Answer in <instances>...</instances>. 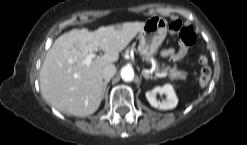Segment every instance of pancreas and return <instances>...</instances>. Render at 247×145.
Instances as JSON below:
<instances>
[{"label": "pancreas", "mask_w": 247, "mask_h": 145, "mask_svg": "<svg viewBox=\"0 0 247 145\" xmlns=\"http://www.w3.org/2000/svg\"><path fill=\"white\" fill-rule=\"evenodd\" d=\"M155 71L159 72L160 68L157 66L155 68ZM161 71H162V73H167L171 80L186 79V77H187V73L185 71H179L176 67L171 68L170 66H166Z\"/></svg>", "instance_id": "cf45deb5"}]
</instances>
